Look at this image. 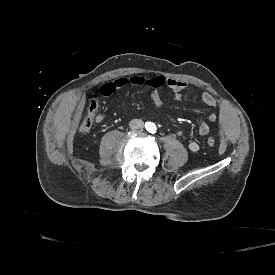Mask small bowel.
I'll return each mask as SVG.
<instances>
[{
  "label": "small bowel",
  "mask_w": 275,
  "mask_h": 275,
  "mask_svg": "<svg viewBox=\"0 0 275 275\" xmlns=\"http://www.w3.org/2000/svg\"><path fill=\"white\" fill-rule=\"evenodd\" d=\"M154 83H159L158 86H155ZM127 84H131L133 86H142L148 85L153 87V91L151 92V100L153 102L154 108L156 110L160 109L162 106V97L157 87L162 85H166L170 87L174 92V99L180 100L182 97V92L186 89L187 84L184 81L172 79V78H165V77H156L150 80H145L142 76L134 75L130 78H117L112 81L106 82L99 88V94L102 96H109L116 92L117 90L123 88ZM202 102L211 109L210 114L206 121H203L198 126V133L201 136H205L210 131V123L215 122L217 119V112H216V99L213 95L208 92H204L201 94ZM189 149L193 152H196L199 149V145L195 141L189 142Z\"/></svg>",
  "instance_id": "1"
}]
</instances>
